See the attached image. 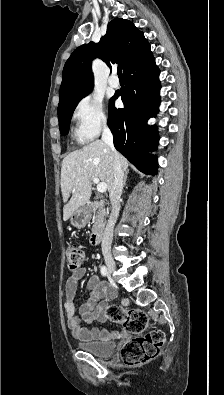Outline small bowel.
Wrapping results in <instances>:
<instances>
[{"label": "small bowel", "instance_id": "small-bowel-1", "mask_svg": "<svg viewBox=\"0 0 224 395\" xmlns=\"http://www.w3.org/2000/svg\"><path fill=\"white\" fill-rule=\"evenodd\" d=\"M86 275V268L80 267L68 278L65 285V299L63 303L67 318V326L74 338L80 341L104 339L108 335L99 328L88 329L82 323L91 324L94 321H105L106 308L116 294L113 287L94 275L87 282L89 296L79 307L78 314L75 300L79 288V281Z\"/></svg>", "mask_w": 224, "mask_h": 395}]
</instances>
